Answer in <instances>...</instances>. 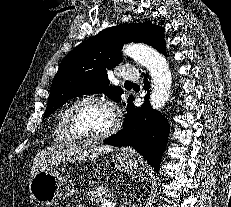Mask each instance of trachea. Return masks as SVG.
I'll list each match as a JSON object with an SVG mask.
<instances>
[{
    "instance_id": "1",
    "label": "trachea",
    "mask_w": 231,
    "mask_h": 207,
    "mask_svg": "<svg viewBox=\"0 0 231 207\" xmlns=\"http://www.w3.org/2000/svg\"><path fill=\"white\" fill-rule=\"evenodd\" d=\"M126 83L131 84V82H129V81H128V82H126Z\"/></svg>"
}]
</instances>
